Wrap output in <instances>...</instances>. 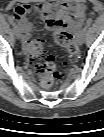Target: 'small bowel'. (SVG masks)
Returning <instances> with one entry per match:
<instances>
[{"label":"small bowel","mask_w":104,"mask_h":137,"mask_svg":"<svg viewBox=\"0 0 104 137\" xmlns=\"http://www.w3.org/2000/svg\"><path fill=\"white\" fill-rule=\"evenodd\" d=\"M86 6L83 3H68L60 0H48L43 4L18 5L11 16L22 34L23 51L29 57V43L32 24L27 18L30 13H37L47 27H63L78 32L86 19Z\"/></svg>","instance_id":"c3829d8e"}]
</instances>
